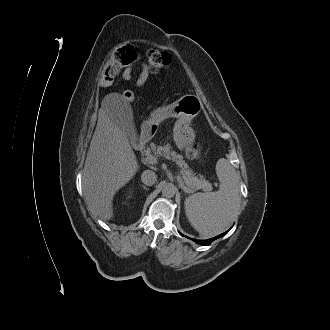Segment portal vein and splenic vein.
<instances>
[{"mask_svg":"<svg viewBox=\"0 0 330 330\" xmlns=\"http://www.w3.org/2000/svg\"><path fill=\"white\" fill-rule=\"evenodd\" d=\"M146 160H147L148 164H155L157 162V157L155 155L148 154L146 157ZM183 189L186 193H193V190L187 188L186 186H183Z\"/></svg>","mask_w":330,"mask_h":330,"instance_id":"obj_1","label":"portal vein and splenic vein"}]
</instances>
